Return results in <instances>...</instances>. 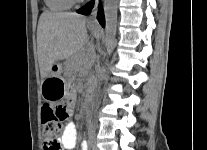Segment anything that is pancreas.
<instances>
[{
	"label": "pancreas",
	"instance_id": "1",
	"mask_svg": "<svg viewBox=\"0 0 207 150\" xmlns=\"http://www.w3.org/2000/svg\"><path fill=\"white\" fill-rule=\"evenodd\" d=\"M92 59V53L84 51L75 58V68L76 69H82L86 66H88Z\"/></svg>",
	"mask_w": 207,
	"mask_h": 150
}]
</instances>
